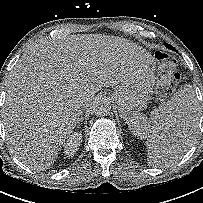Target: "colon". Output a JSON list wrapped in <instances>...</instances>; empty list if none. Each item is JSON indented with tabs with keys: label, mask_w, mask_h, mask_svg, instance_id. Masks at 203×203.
<instances>
[{
	"label": "colon",
	"mask_w": 203,
	"mask_h": 203,
	"mask_svg": "<svg viewBox=\"0 0 203 203\" xmlns=\"http://www.w3.org/2000/svg\"><path fill=\"white\" fill-rule=\"evenodd\" d=\"M155 59L158 63L156 91L161 97L170 95L181 80L180 73L176 70V60L169 55L157 51Z\"/></svg>",
	"instance_id": "5ec220e1"
}]
</instances>
